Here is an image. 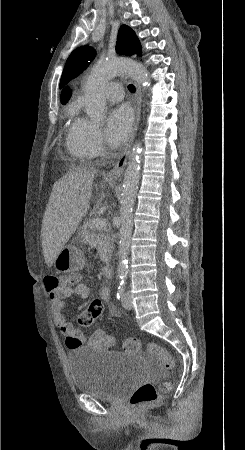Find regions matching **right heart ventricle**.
Instances as JSON below:
<instances>
[{
  "instance_id": "right-heart-ventricle-1",
  "label": "right heart ventricle",
  "mask_w": 245,
  "mask_h": 450,
  "mask_svg": "<svg viewBox=\"0 0 245 450\" xmlns=\"http://www.w3.org/2000/svg\"><path fill=\"white\" fill-rule=\"evenodd\" d=\"M70 116L73 120L67 133L65 146L75 156L83 157L84 155L81 153L79 147L78 121L80 120V117L77 116L76 108H73L70 111Z\"/></svg>"
}]
</instances>
